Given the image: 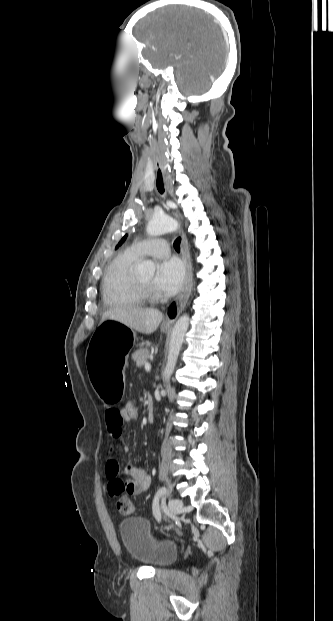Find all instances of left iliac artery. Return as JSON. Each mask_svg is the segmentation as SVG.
I'll list each match as a JSON object with an SVG mask.
<instances>
[{
  "label": "left iliac artery",
  "mask_w": 333,
  "mask_h": 621,
  "mask_svg": "<svg viewBox=\"0 0 333 621\" xmlns=\"http://www.w3.org/2000/svg\"><path fill=\"white\" fill-rule=\"evenodd\" d=\"M166 492H167L166 487L159 488L157 490V492L155 494V497H154V500H153V505H152L153 514H154V516H155V518H156V520L158 522H160V520H161V512H160V509H159V499H160L161 496L165 495Z\"/></svg>",
  "instance_id": "1"
}]
</instances>
